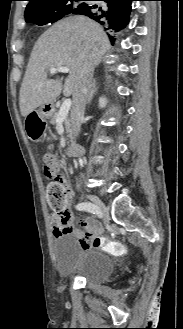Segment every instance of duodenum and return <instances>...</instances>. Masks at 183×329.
I'll list each match as a JSON object with an SVG mask.
<instances>
[{
  "instance_id": "duodenum-1",
  "label": "duodenum",
  "mask_w": 183,
  "mask_h": 329,
  "mask_svg": "<svg viewBox=\"0 0 183 329\" xmlns=\"http://www.w3.org/2000/svg\"><path fill=\"white\" fill-rule=\"evenodd\" d=\"M84 153V148L82 145L75 143L67 149L68 157H77Z\"/></svg>"
}]
</instances>
